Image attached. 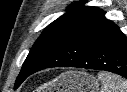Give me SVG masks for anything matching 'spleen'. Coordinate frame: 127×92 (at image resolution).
Listing matches in <instances>:
<instances>
[{
	"label": "spleen",
	"mask_w": 127,
	"mask_h": 92,
	"mask_svg": "<svg viewBox=\"0 0 127 92\" xmlns=\"http://www.w3.org/2000/svg\"><path fill=\"white\" fill-rule=\"evenodd\" d=\"M98 80L102 84L100 92H127V80L122 79L118 75L99 72Z\"/></svg>",
	"instance_id": "spleen-1"
}]
</instances>
